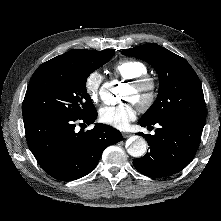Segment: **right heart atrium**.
Here are the masks:
<instances>
[{"label": "right heart atrium", "instance_id": "1", "mask_svg": "<svg viewBox=\"0 0 221 221\" xmlns=\"http://www.w3.org/2000/svg\"><path fill=\"white\" fill-rule=\"evenodd\" d=\"M103 80V75L97 70L90 72L85 78L84 89L93 102L99 99Z\"/></svg>", "mask_w": 221, "mask_h": 221}]
</instances>
